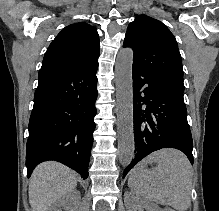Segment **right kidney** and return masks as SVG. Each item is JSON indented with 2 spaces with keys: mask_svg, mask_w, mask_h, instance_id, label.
<instances>
[{
  "mask_svg": "<svg viewBox=\"0 0 219 211\" xmlns=\"http://www.w3.org/2000/svg\"><path fill=\"white\" fill-rule=\"evenodd\" d=\"M78 199H80V197H78ZM68 201H73V195H69ZM65 203V197H59V199H56L55 203H52V205H50L48 211H62V209H64L65 207Z\"/></svg>",
  "mask_w": 219,
  "mask_h": 211,
  "instance_id": "right-kidney-1",
  "label": "right kidney"
}]
</instances>
